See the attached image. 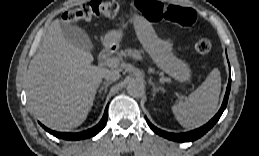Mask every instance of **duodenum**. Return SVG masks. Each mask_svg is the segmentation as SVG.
<instances>
[{"instance_id": "1", "label": "duodenum", "mask_w": 259, "mask_h": 156, "mask_svg": "<svg viewBox=\"0 0 259 156\" xmlns=\"http://www.w3.org/2000/svg\"><path fill=\"white\" fill-rule=\"evenodd\" d=\"M114 52V47L112 45H106L99 54V60L101 62L106 61Z\"/></svg>"}]
</instances>
